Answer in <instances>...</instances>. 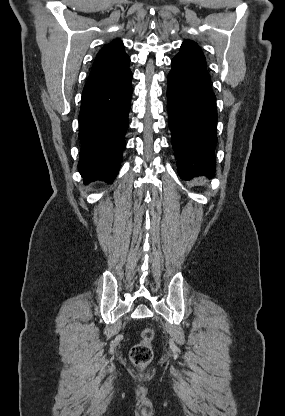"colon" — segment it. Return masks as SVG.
<instances>
[{
	"instance_id": "colon-1",
	"label": "colon",
	"mask_w": 285,
	"mask_h": 416,
	"mask_svg": "<svg viewBox=\"0 0 285 416\" xmlns=\"http://www.w3.org/2000/svg\"><path fill=\"white\" fill-rule=\"evenodd\" d=\"M153 336L154 332L151 328L144 329L141 340L131 349L130 359L135 366L143 368L151 362L153 356L151 341Z\"/></svg>"
}]
</instances>
